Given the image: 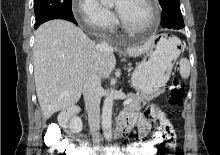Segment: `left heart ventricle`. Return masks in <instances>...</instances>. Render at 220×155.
Returning <instances> with one entry per match:
<instances>
[{"instance_id":"obj_1","label":"left heart ventricle","mask_w":220,"mask_h":155,"mask_svg":"<svg viewBox=\"0 0 220 155\" xmlns=\"http://www.w3.org/2000/svg\"><path fill=\"white\" fill-rule=\"evenodd\" d=\"M115 8L121 18L132 27H141L149 19L150 11L144 0H117Z\"/></svg>"}]
</instances>
